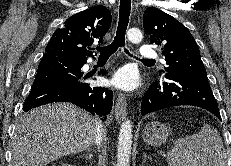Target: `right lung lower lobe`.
Wrapping results in <instances>:
<instances>
[{
  "mask_svg": "<svg viewBox=\"0 0 231 166\" xmlns=\"http://www.w3.org/2000/svg\"><path fill=\"white\" fill-rule=\"evenodd\" d=\"M86 62L44 55L23 110L27 112L52 102H71L92 115H108L112 109L113 92L107 88L90 87L83 81L87 77L80 70ZM101 73L104 75L106 71Z\"/></svg>",
  "mask_w": 231,
  "mask_h": 166,
  "instance_id": "1",
  "label": "right lung lower lobe"
}]
</instances>
